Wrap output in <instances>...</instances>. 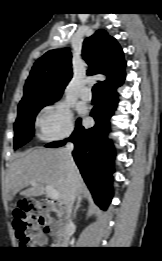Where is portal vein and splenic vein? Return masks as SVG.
I'll return each instance as SVG.
<instances>
[{"mask_svg": "<svg viewBox=\"0 0 162 261\" xmlns=\"http://www.w3.org/2000/svg\"><path fill=\"white\" fill-rule=\"evenodd\" d=\"M30 184L32 186L36 185V181L35 180H31ZM45 192L47 194V196H49L52 200H58L59 199V192L55 189H53L51 186L46 185L45 186Z\"/></svg>", "mask_w": 162, "mask_h": 261, "instance_id": "1", "label": "portal vein and splenic vein"}]
</instances>
